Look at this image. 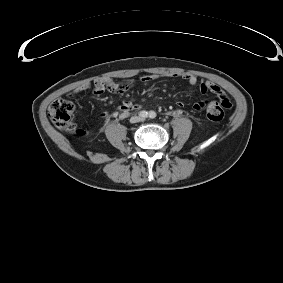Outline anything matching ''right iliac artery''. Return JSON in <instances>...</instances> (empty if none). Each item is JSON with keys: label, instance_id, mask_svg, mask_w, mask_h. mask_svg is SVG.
Returning <instances> with one entry per match:
<instances>
[{"label": "right iliac artery", "instance_id": "obj_1", "mask_svg": "<svg viewBox=\"0 0 283 283\" xmlns=\"http://www.w3.org/2000/svg\"><path fill=\"white\" fill-rule=\"evenodd\" d=\"M139 116L142 117V118H147L148 117V112L147 111H141L139 113Z\"/></svg>", "mask_w": 283, "mask_h": 283}]
</instances>
